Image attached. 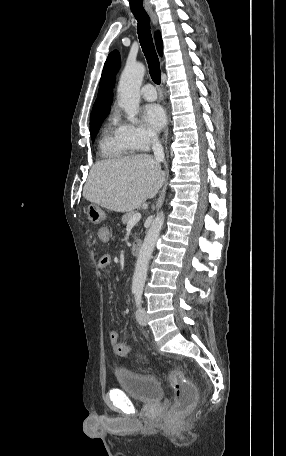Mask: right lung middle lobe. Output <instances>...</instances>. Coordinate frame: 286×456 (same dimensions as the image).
Instances as JSON below:
<instances>
[{
	"label": "right lung middle lobe",
	"instance_id": "right-lung-middle-lobe-1",
	"mask_svg": "<svg viewBox=\"0 0 286 456\" xmlns=\"http://www.w3.org/2000/svg\"><path fill=\"white\" fill-rule=\"evenodd\" d=\"M107 114L108 113L90 121V133H91L92 142H94L95 137H96V132L98 131L99 127L101 126V124H102L103 120L105 119V117L107 116Z\"/></svg>",
	"mask_w": 286,
	"mask_h": 456
}]
</instances>
